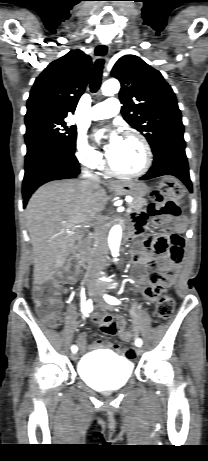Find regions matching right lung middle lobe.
<instances>
[{
	"label": "right lung middle lobe",
	"mask_w": 208,
	"mask_h": 461,
	"mask_svg": "<svg viewBox=\"0 0 208 461\" xmlns=\"http://www.w3.org/2000/svg\"><path fill=\"white\" fill-rule=\"evenodd\" d=\"M65 118L25 116L26 157L44 147H56L74 153L77 130L75 126H68Z\"/></svg>",
	"instance_id": "obj_1"
}]
</instances>
